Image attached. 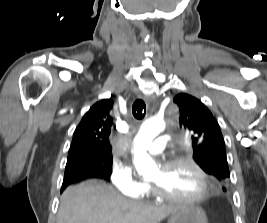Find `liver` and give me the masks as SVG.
Listing matches in <instances>:
<instances>
[{"label": "liver", "instance_id": "obj_1", "mask_svg": "<svg viewBox=\"0 0 267 223\" xmlns=\"http://www.w3.org/2000/svg\"><path fill=\"white\" fill-rule=\"evenodd\" d=\"M176 210L126 199L103 181L87 180L63 192L57 223H159Z\"/></svg>", "mask_w": 267, "mask_h": 223}]
</instances>
